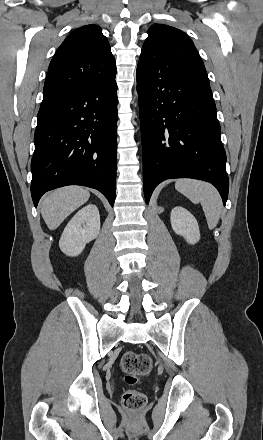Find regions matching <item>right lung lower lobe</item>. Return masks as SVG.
Wrapping results in <instances>:
<instances>
[{"instance_id":"obj_1","label":"right lung lower lobe","mask_w":263,"mask_h":440,"mask_svg":"<svg viewBox=\"0 0 263 440\" xmlns=\"http://www.w3.org/2000/svg\"><path fill=\"white\" fill-rule=\"evenodd\" d=\"M116 91L113 77L41 104L31 161L35 207L45 192L66 185L97 189L114 205Z\"/></svg>"}]
</instances>
